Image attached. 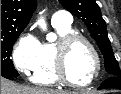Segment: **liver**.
<instances>
[{
	"instance_id": "liver-1",
	"label": "liver",
	"mask_w": 121,
	"mask_h": 94,
	"mask_svg": "<svg viewBox=\"0 0 121 94\" xmlns=\"http://www.w3.org/2000/svg\"><path fill=\"white\" fill-rule=\"evenodd\" d=\"M1 94H90L88 92H66L22 86L1 77Z\"/></svg>"
}]
</instances>
